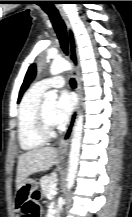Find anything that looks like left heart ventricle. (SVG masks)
Wrapping results in <instances>:
<instances>
[{"instance_id":"left-heart-ventricle-1","label":"left heart ventricle","mask_w":132,"mask_h":217,"mask_svg":"<svg viewBox=\"0 0 132 217\" xmlns=\"http://www.w3.org/2000/svg\"><path fill=\"white\" fill-rule=\"evenodd\" d=\"M44 108H45V114H46L47 119L50 122H52V115H53V111L55 108V102L54 101H46L44 103Z\"/></svg>"}]
</instances>
